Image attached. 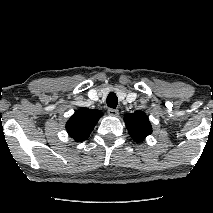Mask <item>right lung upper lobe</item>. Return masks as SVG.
I'll return each mask as SVG.
<instances>
[{
    "mask_svg": "<svg viewBox=\"0 0 213 213\" xmlns=\"http://www.w3.org/2000/svg\"><path fill=\"white\" fill-rule=\"evenodd\" d=\"M102 116L103 113L99 110L81 108L68 120L66 130L76 142L84 141Z\"/></svg>",
    "mask_w": 213,
    "mask_h": 213,
    "instance_id": "1",
    "label": "right lung upper lobe"
}]
</instances>
